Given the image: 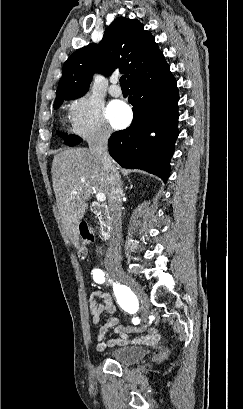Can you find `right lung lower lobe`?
Here are the masks:
<instances>
[{"instance_id": "obj_1", "label": "right lung lower lobe", "mask_w": 243, "mask_h": 409, "mask_svg": "<svg viewBox=\"0 0 243 409\" xmlns=\"http://www.w3.org/2000/svg\"><path fill=\"white\" fill-rule=\"evenodd\" d=\"M129 86L134 120L127 129L111 135L110 155L124 168L146 170L166 182L178 136L176 80L167 65ZM151 132L156 136L150 137Z\"/></svg>"}]
</instances>
